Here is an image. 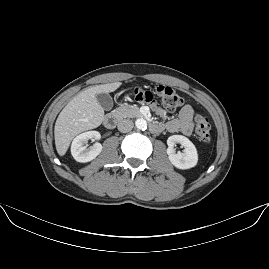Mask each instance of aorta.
I'll return each mask as SVG.
<instances>
[{
    "mask_svg": "<svg viewBox=\"0 0 269 269\" xmlns=\"http://www.w3.org/2000/svg\"><path fill=\"white\" fill-rule=\"evenodd\" d=\"M135 125H136V127H137L138 129H141V130L147 128V122H146V120L143 119V118H139V119H137V120L135 121Z\"/></svg>",
    "mask_w": 269,
    "mask_h": 269,
    "instance_id": "1",
    "label": "aorta"
}]
</instances>
